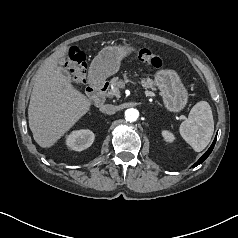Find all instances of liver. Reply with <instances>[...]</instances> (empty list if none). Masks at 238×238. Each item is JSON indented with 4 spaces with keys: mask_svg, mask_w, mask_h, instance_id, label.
<instances>
[{
    "mask_svg": "<svg viewBox=\"0 0 238 238\" xmlns=\"http://www.w3.org/2000/svg\"><path fill=\"white\" fill-rule=\"evenodd\" d=\"M68 47L50 55L39 67L28 107L29 128L36 143L49 148L90 109L92 102L73 87L59 67Z\"/></svg>",
    "mask_w": 238,
    "mask_h": 238,
    "instance_id": "6515ba94",
    "label": "liver"
}]
</instances>
